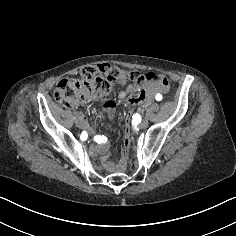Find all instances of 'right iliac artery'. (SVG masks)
<instances>
[{"mask_svg":"<svg viewBox=\"0 0 236 236\" xmlns=\"http://www.w3.org/2000/svg\"><path fill=\"white\" fill-rule=\"evenodd\" d=\"M87 137H88L87 132H86V131H83L82 134H81V136H80V139H81L82 141H85V140L87 139Z\"/></svg>","mask_w":236,"mask_h":236,"instance_id":"obj_1","label":"right iliac artery"}]
</instances>
